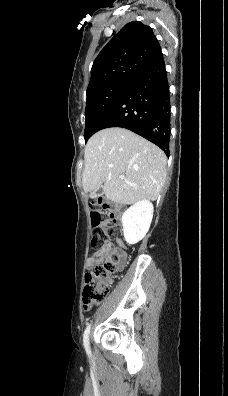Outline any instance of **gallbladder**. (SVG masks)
Here are the masks:
<instances>
[{
	"label": "gallbladder",
	"mask_w": 228,
	"mask_h": 396,
	"mask_svg": "<svg viewBox=\"0 0 228 396\" xmlns=\"http://www.w3.org/2000/svg\"><path fill=\"white\" fill-rule=\"evenodd\" d=\"M101 188H102V187L99 186V187L94 191V194H96V193L100 194Z\"/></svg>",
	"instance_id": "obj_1"
}]
</instances>
